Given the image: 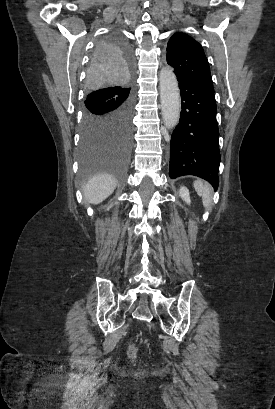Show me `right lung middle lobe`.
Returning <instances> with one entry per match:
<instances>
[{"label":"right lung middle lobe","mask_w":275,"mask_h":409,"mask_svg":"<svg viewBox=\"0 0 275 409\" xmlns=\"http://www.w3.org/2000/svg\"><path fill=\"white\" fill-rule=\"evenodd\" d=\"M116 33L99 38L91 55L85 82L80 171L77 182H89L94 173H113L125 181L132 148L134 97L131 91L136 52ZM121 188V183H114Z\"/></svg>","instance_id":"right-lung-middle-lobe-1"}]
</instances>
